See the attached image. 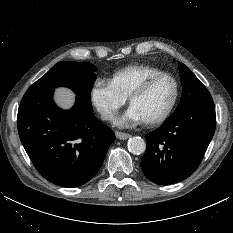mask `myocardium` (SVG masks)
Returning a JSON list of instances; mask_svg holds the SVG:
<instances>
[{
    "label": "myocardium",
    "mask_w": 233,
    "mask_h": 233,
    "mask_svg": "<svg viewBox=\"0 0 233 233\" xmlns=\"http://www.w3.org/2000/svg\"><path fill=\"white\" fill-rule=\"evenodd\" d=\"M166 77L170 78L174 83L175 90H174L173 98L170 104L168 105L167 109L159 117L144 121L146 125H149V126L160 125L164 123L172 114L177 104L179 95H180V85H179L177 78L168 72H161V73L152 75L146 78L138 87H136L128 97L129 104L131 105L132 102L136 98L144 95L157 80L161 78H166Z\"/></svg>",
    "instance_id": "myocardium-1"
}]
</instances>
